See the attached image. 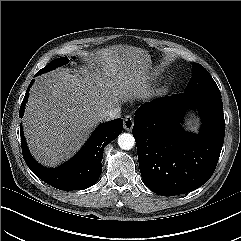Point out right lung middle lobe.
I'll return each instance as SVG.
<instances>
[{
  "label": "right lung middle lobe",
  "mask_w": 241,
  "mask_h": 241,
  "mask_svg": "<svg viewBox=\"0 0 241 241\" xmlns=\"http://www.w3.org/2000/svg\"><path fill=\"white\" fill-rule=\"evenodd\" d=\"M69 62V59L67 57H61V58H57L55 60H53L52 62H50L47 66H45L43 69H41L40 71H38V73H44V72H48L56 67H60L63 66L65 64H67Z\"/></svg>",
  "instance_id": "obj_1"
}]
</instances>
